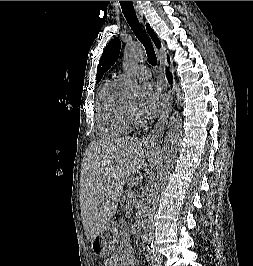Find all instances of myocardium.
Listing matches in <instances>:
<instances>
[{"label":"myocardium","instance_id":"f54148a6","mask_svg":"<svg viewBox=\"0 0 253 266\" xmlns=\"http://www.w3.org/2000/svg\"><path fill=\"white\" fill-rule=\"evenodd\" d=\"M128 111L134 115L135 109H133L131 106L127 105Z\"/></svg>","mask_w":253,"mask_h":266}]
</instances>
